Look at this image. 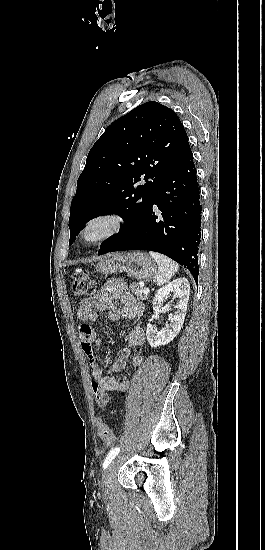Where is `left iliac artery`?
Wrapping results in <instances>:
<instances>
[{
  "mask_svg": "<svg viewBox=\"0 0 265 550\" xmlns=\"http://www.w3.org/2000/svg\"><path fill=\"white\" fill-rule=\"evenodd\" d=\"M119 451H120V448H119V447H116V448L112 449V450L108 453V455H107V457H106V459H105V461H104V463H103V468H104V469H106V468L108 467V465H109V464L111 463V461L116 457V455L119 453Z\"/></svg>",
  "mask_w": 265,
  "mask_h": 550,
  "instance_id": "44dca946",
  "label": "left iliac artery"
}]
</instances>
